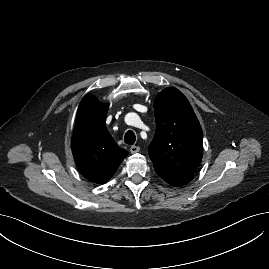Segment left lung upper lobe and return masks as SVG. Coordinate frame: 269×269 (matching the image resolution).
<instances>
[{
  "label": "left lung upper lobe",
  "mask_w": 269,
  "mask_h": 269,
  "mask_svg": "<svg viewBox=\"0 0 269 269\" xmlns=\"http://www.w3.org/2000/svg\"><path fill=\"white\" fill-rule=\"evenodd\" d=\"M156 133L148 152L154 168L193 174L203 155L202 129L187 98L166 88L154 101Z\"/></svg>",
  "instance_id": "left-lung-upper-lobe-1"
}]
</instances>
